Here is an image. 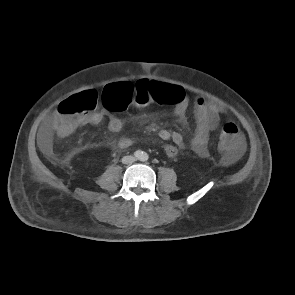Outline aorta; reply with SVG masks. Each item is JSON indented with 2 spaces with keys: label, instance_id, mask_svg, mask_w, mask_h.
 I'll use <instances>...</instances> for the list:
<instances>
[{
  "label": "aorta",
  "instance_id": "aorta-1",
  "mask_svg": "<svg viewBox=\"0 0 295 295\" xmlns=\"http://www.w3.org/2000/svg\"><path fill=\"white\" fill-rule=\"evenodd\" d=\"M144 155H145V153H144ZM140 159L143 160L142 156L140 157Z\"/></svg>",
  "mask_w": 295,
  "mask_h": 295
}]
</instances>
